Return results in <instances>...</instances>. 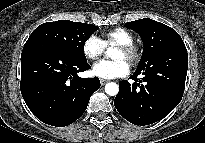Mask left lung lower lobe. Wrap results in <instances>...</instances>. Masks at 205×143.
<instances>
[{
    "mask_svg": "<svg viewBox=\"0 0 205 143\" xmlns=\"http://www.w3.org/2000/svg\"><path fill=\"white\" fill-rule=\"evenodd\" d=\"M187 68L184 42L169 45L157 55L154 66L136 70L130 77L135 81L133 84L127 80L120 82L114 100L117 111L127 121L140 126L165 118L182 99ZM140 74L144 77L137 79Z\"/></svg>",
    "mask_w": 205,
    "mask_h": 143,
    "instance_id": "0a47b994",
    "label": "left lung lower lobe"
}]
</instances>
